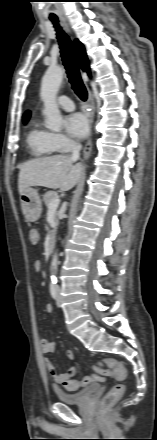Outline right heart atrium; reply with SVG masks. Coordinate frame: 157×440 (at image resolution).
<instances>
[{
    "mask_svg": "<svg viewBox=\"0 0 157 440\" xmlns=\"http://www.w3.org/2000/svg\"><path fill=\"white\" fill-rule=\"evenodd\" d=\"M51 139H52L54 147L57 150L66 151L71 146L74 145V143L70 139H68L66 136H64L63 134H60V133H52Z\"/></svg>",
    "mask_w": 157,
    "mask_h": 440,
    "instance_id": "right-heart-atrium-1",
    "label": "right heart atrium"
}]
</instances>
